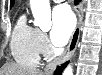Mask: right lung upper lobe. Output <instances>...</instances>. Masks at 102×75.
I'll return each mask as SVG.
<instances>
[{"label":"right lung upper lobe","mask_w":102,"mask_h":75,"mask_svg":"<svg viewBox=\"0 0 102 75\" xmlns=\"http://www.w3.org/2000/svg\"><path fill=\"white\" fill-rule=\"evenodd\" d=\"M13 3H14V1H13V0H11V6H13Z\"/></svg>","instance_id":"right-lung-upper-lobe-1"}]
</instances>
